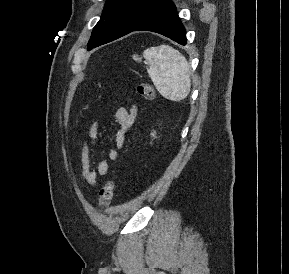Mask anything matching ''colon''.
Returning a JSON list of instances; mask_svg holds the SVG:
<instances>
[{
    "label": "colon",
    "mask_w": 289,
    "mask_h": 274,
    "mask_svg": "<svg viewBox=\"0 0 289 274\" xmlns=\"http://www.w3.org/2000/svg\"><path fill=\"white\" fill-rule=\"evenodd\" d=\"M137 92L147 101H152L155 98L154 88L145 82H141L137 86ZM115 183L112 179L108 180L99 191V207L104 208L113 198Z\"/></svg>",
    "instance_id": "obj_1"
}]
</instances>
